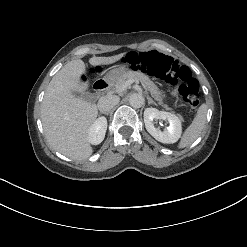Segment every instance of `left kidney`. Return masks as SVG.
Returning <instances> with one entry per match:
<instances>
[{"label":"left kidney","instance_id":"5707ae66","mask_svg":"<svg viewBox=\"0 0 247 247\" xmlns=\"http://www.w3.org/2000/svg\"><path fill=\"white\" fill-rule=\"evenodd\" d=\"M154 120L169 122V127L161 131L154 126ZM144 123L147 131L159 142L172 144L178 141L182 133L181 120L172 113L159 111L156 108H147L144 111Z\"/></svg>","mask_w":247,"mask_h":247}]
</instances>
